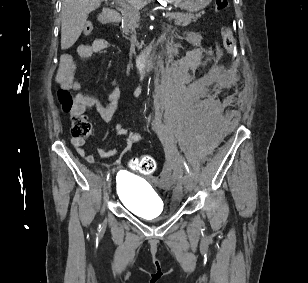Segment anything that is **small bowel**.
<instances>
[{
	"mask_svg": "<svg viewBox=\"0 0 308 283\" xmlns=\"http://www.w3.org/2000/svg\"><path fill=\"white\" fill-rule=\"evenodd\" d=\"M107 48L108 42L103 38H97L91 43L79 46L78 54L81 57L87 58L94 54L101 53ZM57 82L63 90L80 91L81 84L76 78V64L71 57L66 56L61 59L57 72ZM120 94L121 92L119 88L113 89L108 95V102L103 105L94 96L85 92H79L76 95V106L71 114H83L86 110L95 108L100 118L105 122H109L117 110ZM115 131L117 135L125 137L124 152L128 151L131 146L141 138L139 132L130 131L123 122H119L115 125ZM72 144L79 156L84 158L90 164L95 162L94 155L89 154L85 149L84 139L73 138ZM97 152L101 158H108L116 154L117 150H105L99 148Z\"/></svg>",
	"mask_w": 308,
	"mask_h": 283,
	"instance_id": "c3829d8e",
	"label": "small bowel"
}]
</instances>
